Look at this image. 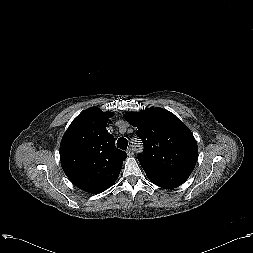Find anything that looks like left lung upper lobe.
<instances>
[{"label":"left lung upper lobe","instance_id":"5c2ea615","mask_svg":"<svg viewBox=\"0 0 253 253\" xmlns=\"http://www.w3.org/2000/svg\"><path fill=\"white\" fill-rule=\"evenodd\" d=\"M124 118L137 128L144 151L138 156L141 166L191 173L198 159L197 142L174 114L162 108L127 112Z\"/></svg>","mask_w":253,"mask_h":253}]
</instances>
